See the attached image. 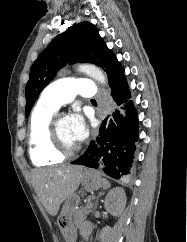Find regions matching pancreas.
I'll return each mask as SVG.
<instances>
[{
	"mask_svg": "<svg viewBox=\"0 0 187 242\" xmlns=\"http://www.w3.org/2000/svg\"><path fill=\"white\" fill-rule=\"evenodd\" d=\"M92 199H93V198H89V199L87 200V205H86V207H83V208H81V209L78 210L77 215H78V217H79L80 220H83L84 217H85L86 215H88V214L92 211V208H93V204L91 203V200H92Z\"/></svg>",
	"mask_w": 187,
	"mask_h": 242,
	"instance_id": "1",
	"label": "pancreas"
}]
</instances>
